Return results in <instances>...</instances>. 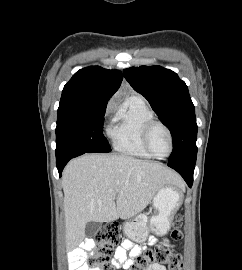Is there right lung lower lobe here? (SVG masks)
<instances>
[{"mask_svg": "<svg viewBox=\"0 0 242 270\" xmlns=\"http://www.w3.org/2000/svg\"><path fill=\"white\" fill-rule=\"evenodd\" d=\"M71 158H67V159H64L62 161H58L57 162V168H58V171H59V174L61 175L62 174V170L63 168L65 167V165L68 163V161L70 160Z\"/></svg>", "mask_w": 242, "mask_h": 270, "instance_id": "right-lung-lower-lobe-1", "label": "right lung lower lobe"}]
</instances>
